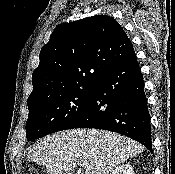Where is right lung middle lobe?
I'll return each mask as SVG.
<instances>
[{"instance_id": "dd1d6c3e", "label": "right lung middle lobe", "mask_w": 175, "mask_h": 174, "mask_svg": "<svg viewBox=\"0 0 175 174\" xmlns=\"http://www.w3.org/2000/svg\"><path fill=\"white\" fill-rule=\"evenodd\" d=\"M93 85L61 92L28 105L26 137L29 141L62 131L85 109Z\"/></svg>"}]
</instances>
